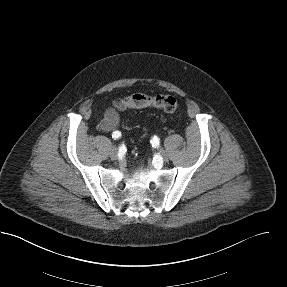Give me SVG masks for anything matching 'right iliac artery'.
Instances as JSON below:
<instances>
[{
    "mask_svg": "<svg viewBox=\"0 0 287 287\" xmlns=\"http://www.w3.org/2000/svg\"><path fill=\"white\" fill-rule=\"evenodd\" d=\"M120 136H121V133H120L119 131H116V132H114V133L112 134V137H113L114 139H117V138H119ZM119 150H125L124 145H122Z\"/></svg>",
    "mask_w": 287,
    "mask_h": 287,
    "instance_id": "right-iliac-artery-1",
    "label": "right iliac artery"
}]
</instances>
